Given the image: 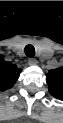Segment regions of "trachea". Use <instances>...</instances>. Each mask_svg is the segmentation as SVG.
Segmentation results:
<instances>
[{
  "label": "trachea",
  "mask_w": 63,
  "mask_h": 123,
  "mask_svg": "<svg viewBox=\"0 0 63 123\" xmlns=\"http://www.w3.org/2000/svg\"><path fill=\"white\" fill-rule=\"evenodd\" d=\"M24 51H25L26 56L29 58H33L35 55V49L32 45H27Z\"/></svg>",
  "instance_id": "obj_1"
}]
</instances>
